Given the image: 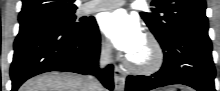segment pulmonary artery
<instances>
[{
    "label": "pulmonary artery",
    "instance_id": "1",
    "mask_svg": "<svg viewBox=\"0 0 220 91\" xmlns=\"http://www.w3.org/2000/svg\"><path fill=\"white\" fill-rule=\"evenodd\" d=\"M125 3L124 0H96L85 9L86 13H95L104 10H111L120 7Z\"/></svg>",
    "mask_w": 220,
    "mask_h": 91
}]
</instances>
